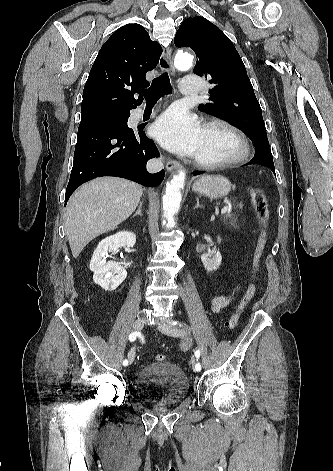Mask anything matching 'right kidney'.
<instances>
[{
	"label": "right kidney",
	"mask_w": 333,
	"mask_h": 471,
	"mask_svg": "<svg viewBox=\"0 0 333 471\" xmlns=\"http://www.w3.org/2000/svg\"><path fill=\"white\" fill-rule=\"evenodd\" d=\"M135 243V234L127 231L103 239L95 249L90 262L94 282L106 291L115 290L126 279L127 271L114 261L107 262V254L122 246L133 247Z\"/></svg>",
	"instance_id": "1"
}]
</instances>
